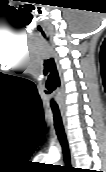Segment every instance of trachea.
Segmentation results:
<instances>
[{
  "label": "trachea",
  "mask_w": 106,
  "mask_h": 172,
  "mask_svg": "<svg viewBox=\"0 0 106 172\" xmlns=\"http://www.w3.org/2000/svg\"><path fill=\"white\" fill-rule=\"evenodd\" d=\"M52 111H53V117H54V126H55L56 133H57L58 139L61 143L62 150H63L64 161L68 165H70L68 142H67V138L65 135L60 111L58 108H54V107H52Z\"/></svg>",
  "instance_id": "1"
}]
</instances>
